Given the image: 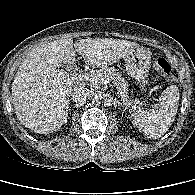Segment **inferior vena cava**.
Returning a JSON list of instances; mask_svg holds the SVG:
<instances>
[{
  "instance_id": "1",
  "label": "inferior vena cava",
  "mask_w": 195,
  "mask_h": 195,
  "mask_svg": "<svg viewBox=\"0 0 195 195\" xmlns=\"http://www.w3.org/2000/svg\"><path fill=\"white\" fill-rule=\"evenodd\" d=\"M71 96L73 101L85 103L91 97V92L83 86H75L71 92Z\"/></svg>"
}]
</instances>
